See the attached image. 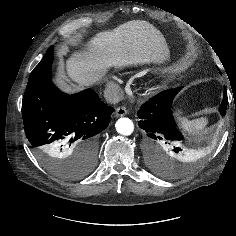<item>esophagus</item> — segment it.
I'll list each match as a JSON object with an SVG mask.
<instances>
[{
    "label": "esophagus",
    "instance_id": "34e87169",
    "mask_svg": "<svg viewBox=\"0 0 236 236\" xmlns=\"http://www.w3.org/2000/svg\"><path fill=\"white\" fill-rule=\"evenodd\" d=\"M127 114V109L125 107H118L115 111L117 117H121Z\"/></svg>",
    "mask_w": 236,
    "mask_h": 236
}]
</instances>
